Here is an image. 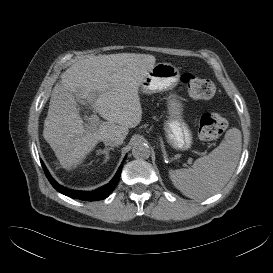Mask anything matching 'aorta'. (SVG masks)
<instances>
[{"instance_id": "aorta-1", "label": "aorta", "mask_w": 273, "mask_h": 273, "mask_svg": "<svg viewBox=\"0 0 273 273\" xmlns=\"http://www.w3.org/2000/svg\"><path fill=\"white\" fill-rule=\"evenodd\" d=\"M132 155L136 159H148L150 157V148L145 143H136L132 148Z\"/></svg>"}]
</instances>
